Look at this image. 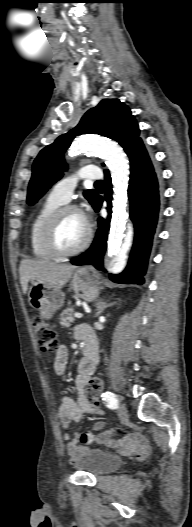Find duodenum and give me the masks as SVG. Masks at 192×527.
Returning <instances> with one entry per match:
<instances>
[{"label": "duodenum", "mask_w": 192, "mask_h": 527, "mask_svg": "<svg viewBox=\"0 0 192 527\" xmlns=\"http://www.w3.org/2000/svg\"><path fill=\"white\" fill-rule=\"evenodd\" d=\"M84 355H85V358L87 359L88 362H93L94 360V356H93V353L90 349H85L84 350Z\"/></svg>", "instance_id": "duodenum-1"}]
</instances>
